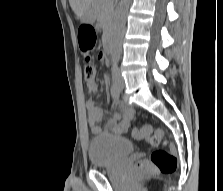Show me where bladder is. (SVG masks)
<instances>
[{"mask_svg": "<svg viewBox=\"0 0 223 191\" xmlns=\"http://www.w3.org/2000/svg\"><path fill=\"white\" fill-rule=\"evenodd\" d=\"M133 152L132 142L125 137L101 135L88 144V155L93 167L113 166Z\"/></svg>", "mask_w": 223, "mask_h": 191, "instance_id": "31cf9c89", "label": "bladder"}]
</instances>
